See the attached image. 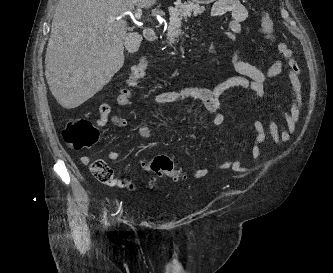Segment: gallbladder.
Instances as JSON below:
<instances>
[{"label": "gallbladder", "instance_id": "obj_1", "mask_svg": "<svg viewBox=\"0 0 333 273\" xmlns=\"http://www.w3.org/2000/svg\"><path fill=\"white\" fill-rule=\"evenodd\" d=\"M140 36L138 34H130L127 37L125 47L129 53H134L138 50L140 46Z\"/></svg>", "mask_w": 333, "mask_h": 273}]
</instances>
